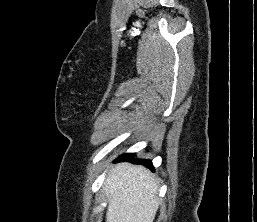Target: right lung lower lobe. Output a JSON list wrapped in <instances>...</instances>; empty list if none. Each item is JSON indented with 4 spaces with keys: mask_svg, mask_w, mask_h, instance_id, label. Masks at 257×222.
Instances as JSON below:
<instances>
[{
    "mask_svg": "<svg viewBox=\"0 0 257 222\" xmlns=\"http://www.w3.org/2000/svg\"><path fill=\"white\" fill-rule=\"evenodd\" d=\"M134 157H135V154H123L120 157H118L116 161H130V162L137 161L136 159H134ZM140 163L153 170V165L150 160H140Z\"/></svg>",
    "mask_w": 257,
    "mask_h": 222,
    "instance_id": "1",
    "label": "right lung lower lobe"
}]
</instances>
